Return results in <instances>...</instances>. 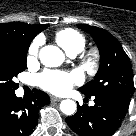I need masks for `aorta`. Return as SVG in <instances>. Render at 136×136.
Masks as SVG:
<instances>
[{
  "label": "aorta",
  "mask_w": 136,
  "mask_h": 136,
  "mask_svg": "<svg viewBox=\"0 0 136 136\" xmlns=\"http://www.w3.org/2000/svg\"><path fill=\"white\" fill-rule=\"evenodd\" d=\"M39 59L46 67H57L63 63L64 54L58 47L47 45L40 49ZM60 110L66 115H72L76 111V103L70 99L63 100Z\"/></svg>",
  "instance_id": "1"
}]
</instances>
